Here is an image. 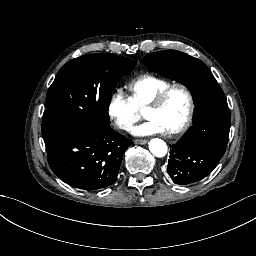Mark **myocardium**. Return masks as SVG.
<instances>
[{
	"label": "myocardium",
	"instance_id": "f54148a6",
	"mask_svg": "<svg viewBox=\"0 0 256 256\" xmlns=\"http://www.w3.org/2000/svg\"><path fill=\"white\" fill-rule=\"evenodd\" d=\"M174 88L181 90L185 94L188 101V109L185 116L181 119V121L178 124H176L173 128L170 129L171 134H175L184 130L189 124L194 113V103H193L192 95L183 83L178 82L175 86L165 90L158 97V99L145 110V115L147 117H150L151 116L150 111L161 108Z\"/></svg>",
	"mask_w": 256,
	"mask_h": 256
}]
</instances>
